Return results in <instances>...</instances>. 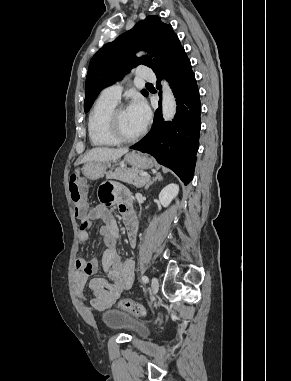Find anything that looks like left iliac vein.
<instances>
[{
	"label": "left iliac vein",
	"mask_w": 291,
	"mask_h": 381,
	"mask_svg": "<svg viewBox=\"0 0 291 381\" xmlns=\"http://www.w3.org/2000/svg\"><path fill=\"white\" fill-rule=\"evenodd\" d=\"M158 289H159V282H158V279L156 277H153L152 278V281H151V290H152V294L153 295H156L157 292H158Z\"/></svg>",
	"instance_id": "1"
}]
</instances>
